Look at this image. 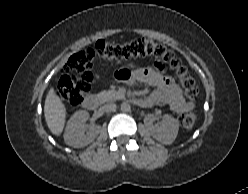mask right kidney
<instances>
[{"label":"right kidney","instance_id":"right-kidney-1","mask_svg":"<svg viewBox=\"0 0 248 194\" xmlns=\"http://www.w3.org/2000/svg\"><path fill=\"white\" fill-rule=\"evenodd\" d=\"M89 118V113L83 110L74 113L67 123L64 133L65 143L75 148L85 147L90 144L100 133L101 126L93 125L87 134H84L85 123Z\"/></svg>","mask_w":248,"mask_h":194}]
</instances>
